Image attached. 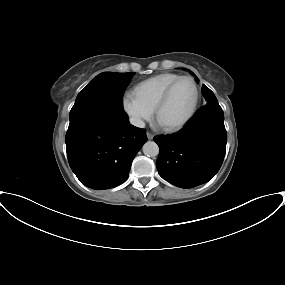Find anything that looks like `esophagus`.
Returning <instances> with one entry per match:
<instances>
[{
	"instance_id": "esophagus-1",
	"label": "esophagus",
	"mask_w": 285,
	"mask_h": 285,
	"mask_svg": "<svg viewBox=\"0 0 285 285\" xmlns=\"http://www.w3.org/2000/svg\"><path fill=\"white\" fill-rule=\"evenodd\" d=\"M146 135L149 140H152L154 138V135L150 132H147Z\"/></svg>"
}]
</instances>
